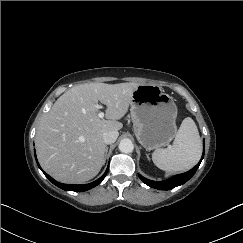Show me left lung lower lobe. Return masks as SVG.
<instances>
[{
  "instance_id": "1",
  "label": "left lung lower lobe",
  "mask_w": 243,
  "mask_h": 243,
  "mask_svg": "<svg viewBox=\"0 0 243 243\" xmlns=\"http://www.w3.org/2000/svg\"><path fill=\"white\" fill-rule=\"evenodd\" d=\"M204 140H203V155L202 158L200 160V162L191 170H189L188 172L182 173V174H178L173 176L170 179H167L165 181H151L149 179L144 178L143 176H141L139 174V178L148 186L155 188V189H159V190H170L173 189L179 185L184 184L185 182H187L197 171L203 157H204Z\"/></svg>"
}]
</instances>
